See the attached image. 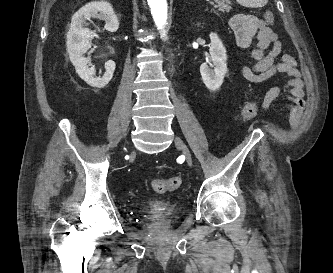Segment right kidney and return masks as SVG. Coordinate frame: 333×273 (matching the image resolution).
<instances>
[{
    "mask_svg": "<svg viewBox=\"0 0 333 273\" xmlns=\"http://www.w3.org/2000/svg\"><path fill=\"white\" fill-rule=\"evenodd\" d=\"M90 18L104 20V28L109 32H116L119 27L117 16L109 2L87 3L72 17L67 34V51L79 77L91 87L104 88L112 79L116 65L114 61L108 60L105 63V73L100 77L95 76L94 67L88 66L89 59L84 54L91 48V40L95 36V32L86 27V20Z\"/></svg>",
    "mask_w": 333,
    "mask_h": 273,
    "instance_id": "right-kidney-1",
    "label": "right kidney"
}]
</instances>
